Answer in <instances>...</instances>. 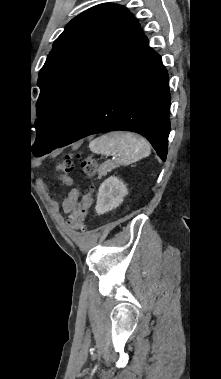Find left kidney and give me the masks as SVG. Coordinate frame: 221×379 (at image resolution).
<instances>
[{"label":"left kidney","instance_id":"5707ae66","mask_svg":"<svg viewBox=\"0 0 221 379\" xmlns=\"http://www.w3.org/2000/svg\"><path fill=\"white\" fill-rule=\"evenodd\" d=\"M128 194L126 185L115 176L107 178L99 187L95 211L102 215L117 208Z\"/></svg>","mask_w":221,"mask_h":379}]
</instances>
